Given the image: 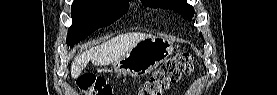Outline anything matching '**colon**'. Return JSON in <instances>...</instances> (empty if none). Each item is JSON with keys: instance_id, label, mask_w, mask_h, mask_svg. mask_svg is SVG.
<instances>
[{"instance_id": "obj_1", "label": "colon", "mask_w": 277, "mask_h": 95, "mask_svg": "<svg viewBox=\"0 0 277 95\" xmlns=\"http://www.w3.org/2000/svg\"><path fill=\"white\" fill-rule=\"evenodd\" d=\"M194 71L192 56L180 53L166 61L145 83L139 95H161L169 86L181 77ZM78 87L87 94L111 95L112 86L103 79L95 76L80 78Z\"/></svg>"}]
</instances>
